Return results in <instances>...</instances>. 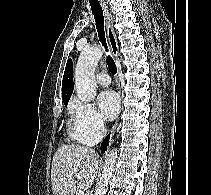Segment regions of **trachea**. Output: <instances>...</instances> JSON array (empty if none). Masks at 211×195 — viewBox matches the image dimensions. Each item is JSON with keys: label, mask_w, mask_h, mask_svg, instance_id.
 <instances>
[{"label": "trachea", "mask_w": 211, "mask_h": 195, "mask_svg": "<svg viewBox=\"0 0 211 195\" xmlns=\"http://www.w3.org/2000/svg\"><path fill=\"white\" fill-rule=\"evenodd\" d=\"M89 2H90L91 10L94 15L95 22H96V28L98 31V36H99L100 42L102 43V46H104L106 52H108L106 38H105V32H104V16H103L102 7L98 1L89 0ZM107 65H108L109 71L112 74H116L117 68H116L115 62L111 56L107 57Z\"/></svg>", "instance_id": "trachea-1"}]
</instances>
